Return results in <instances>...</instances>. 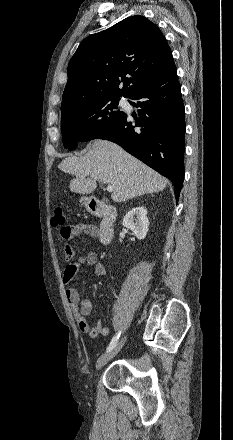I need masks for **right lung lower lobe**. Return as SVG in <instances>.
<instances>
[{"instance_id": "right-lung-lower-lobe-1", "label": "right lung lower lobe", "mask_w": 233, "mask_h": 440, "mask_svg": "<svg viewBox=\"0 0 233 440\" xmlns=\"http://www.w3.org/2000/svg\"><path fill=\"white\" fill-rule=\"evenodd\" d=\"M129 98L140 109L132 124L127 114L100 138L117 143L128 153L169 178L176 199L184 179L185 121L176 67Z\"/></svg>"}]
</instances>
